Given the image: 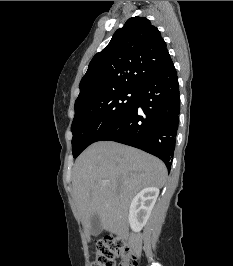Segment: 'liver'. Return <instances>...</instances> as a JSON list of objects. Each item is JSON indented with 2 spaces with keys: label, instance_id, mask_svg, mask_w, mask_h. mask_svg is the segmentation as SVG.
<instances>
[{
  "label": "liver",
  "instance_id": "1",
  "mask_svg": "<svg viewBox=\"0 0 233 266\" xmlns=\"http://www.w3.org/2000/svg\"><path fill=\"white\" fill-rule=\"evenodd\" d=\"M167 169L158 158L113 141L90 145L75 162L73 198L88 234L94 214L104 230L134 243L129 232L128 210L132 198L143 188H161ZM104 180L108 182L103 183Z\"/></svg>",
  "mask_w": 233,
  "mask_h": 266
}]
</instances>
